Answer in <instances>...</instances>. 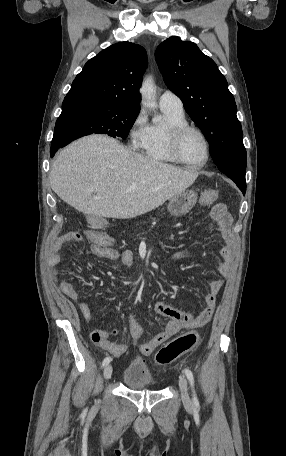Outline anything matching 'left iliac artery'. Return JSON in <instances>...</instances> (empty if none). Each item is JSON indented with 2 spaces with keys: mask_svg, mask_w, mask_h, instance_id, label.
Segmentation results:
<instances>
[{
  "mask_svg": "<svg viewBox=\"0 0 286 456\" xmlns=\"http://www.w3.org/2000/svg\"><path fill=\"white\" fill-rule=\"evenodd\" d=\"M184 373H185V375H186V377H187V379H188V381H189V383H190V385H191V387H192V389H193V403H194L195 406H198V405H199V401H198L197 396H196L195 391H194V377H193V373H192V371H191L190 369H188V368H185V369H184Z\"/></svg>",
  "mask_w": 286,
  "mask_h": 456,
  "instance_id": "44dca946",
  "label": "left iliac artery"
}]
</instances>
